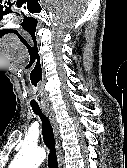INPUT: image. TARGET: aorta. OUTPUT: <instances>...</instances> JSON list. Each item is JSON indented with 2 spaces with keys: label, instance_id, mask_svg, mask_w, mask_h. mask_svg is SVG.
Listing matches in <instances>:
<instances>
[{
  "label": "aorta",
  "instance_id": "aorta-1",
  "mask_svg": "<svg viewBox=\"0 0 127 168\" xmlns=\"http://www.w3.org/2000/svg\"><path fill=\"white\" fill-rule=\"evenodd\" d=\"M45 156L43 148L23 146L9 168H38Z\"/></svg>",
  "mask_w": 127,
  "mask_h": 168
}]
</instances>
